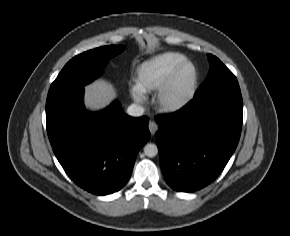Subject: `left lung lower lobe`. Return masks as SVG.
<instances>
[{
    "label": "left lung lower lobe",
    "instance_id": "obj_1",
    "mask_svg": "<svg viewBox=\"0 0 290 236\" xmlns=\"http://www.w3.org/2000/svg\"><path fill=\"white\" fill-rule=\"evenodd\" d=\"M243 102L238 82L195 94L177 112L156 116L155 134L167 184L193 192L214 181L239 142Z\"/></svg>",
    "mask_w": 290,
    "mask_h": 236
}]
</instances>
